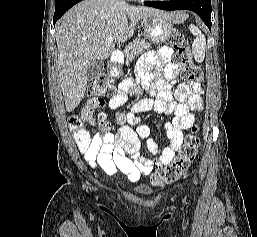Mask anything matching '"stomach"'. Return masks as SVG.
I'll list each match as a JSON object with an SVG mask.
<instances>
[{
	"instance_id": "stomach-1",
	"label": "stomach",
	"mask_w": 257,
	"mask_h": 237,
	"mask_svg": "<svg viewBox=\"0 0 257 237\" xmlns=\"http://www.w3.org/2000/svg\"><path fill=\"white\" fill-rule=\"evenodd\" d=\"M146 38L156 44L168 41L173 35L171 22L163 16H147L142 19Z\"/></svg>"
}]
</instances>
